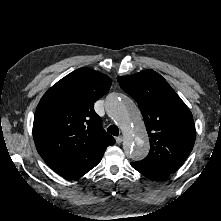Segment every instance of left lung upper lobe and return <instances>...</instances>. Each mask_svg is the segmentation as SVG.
I'll use <instances>...</instances> for the list:
<instances>
[{"label": "left lung upper lobe", "mask_w": 221, "mask_h": 221, "mask_svg": "<svg viewBox=\"0 0 221 221\" xmlns=\"http://www.w3.org/2000/svg\"><path fill=\"white\" fill-rule=\"evenodd\" d=\"M120 87L137 103L148 136V156L135 162L146 170L171 174L193 149L196 130L190 110L167 81L153 70L117 77Z\"/></svg>", "instance_id": "5c2ea615"}]
</instances>
